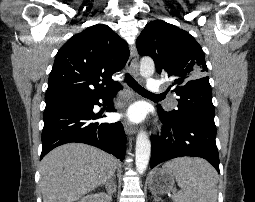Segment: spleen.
Returning a JSON list of instances; mask_svg holds the SVG:
<instances>
[{"instance_id":"obj_1","label":"spleen","mask_w":255,"mask_h":202,"mask_svg":"<svg viewBox=\"0 0 255 202\" xmlns=\"http://www.w3.org/2000/svg\"><path fill=\"white\" fill-rule=\"evenodd\" d=\"M163 169L175 177L181 188L173 202H217L218 175L207 161L178 158L166 162Z\"/></svg>"}]
</instances>
